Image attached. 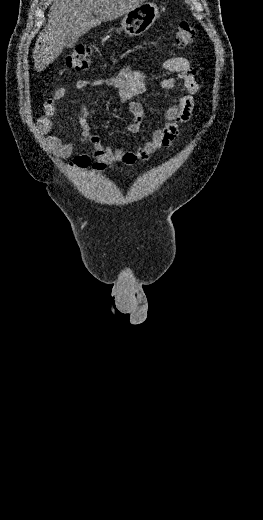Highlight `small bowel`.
<instances>
[{"label": "small bowel", "instance_id": "obj_1", "mask_svg": "<svg viewBox=\"0 0 263 520\" xmlns=\"http://www.w3.org/2000/svg\"><path fill=\"white\" fill-rule=\"evenodd\" d=\"M161 68L170 73H176L177 77H166L160 81V87L173 93V100L165 113V123L162 127L153 131L150 140L135 150L123 148H104L97 138L89 131L88 119L91 114L89 109H84L81 115V141L94 144L92 153L81 152L75 155L69 162V167L74 170L91 168L94 173L101 172L111 164L132 165L138 161H147L151 155L170 146L179 133V126L188 122L196 108L195 95L199 91L196 80V71L187 58L173 54L166 59ZM183 87L182 91L178 84ZM107 86L117 90L120 99L128 104L131 119L127 125L128 132L138 133L145 117V111L140 97L147 92L146 75L143 71L124 67L117 75L105 79L79 80L75 87L85 89L87 87ZM67 89L59 87L53 96L44 104V114L38 119L39 130L49 134L53 125V116L57 111V104L66 97ZM48 140L54 152L60 158L72 157L77 146L70 141H64L58 135L51 134Z\"/></svg>", "mask_w": 263, "mask_h": 520}]
</instances>
